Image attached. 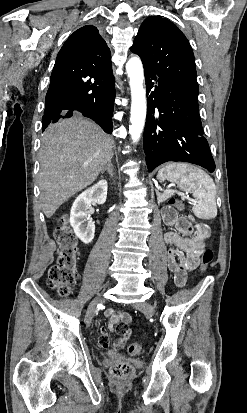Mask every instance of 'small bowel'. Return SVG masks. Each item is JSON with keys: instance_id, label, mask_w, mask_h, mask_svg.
<instances>
[{"instance_id": "obj_1", "label": "small bowel", "mask_w": 247, "mask_h": 413, "mask_svg": "<svg viewBox=\"0 0 247 413\" xmlns=\"http://www.w3.org/2000/svg\"><path fill=\"white\" fill-rule=\"evenodd\" d=\"M163 221L166 226L175 231L164 234V242L170 246L168 250V267L173 274L177 287H183L187 281L190 271L196 269L200 264V256L205 249V240L210 235V228L204 223L195 222L192 217H178L176 212L166 207L163 210ZM108 319L109 329L119 330L118 340L113 342L115 349H128L129 338L132 336V317L129 313L108 309L105 311ZM108 331L101 329L96 336V341L101 349H108L110 342L107 340Z\"/></svg>"}]
</instances>
